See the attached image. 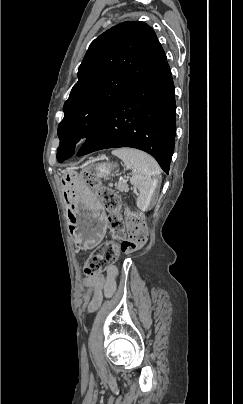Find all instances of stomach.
Instances as JSON below:
<instances>
[{
  "label": "stomach",
  "mask_w": 243,
  "mask_h": 404,
  "mask_svg": "<svg viewBox=\"0 0 243 404\" xmlns=\"http://www.w3.org/2000/svg\"><path fill=\"white\" fill-rule=\"evenodd\" d=\"M116 163L98 162L95 173L99 178L116 174ZM64 198L69 205L68 229L74 242L82 250L92 249L102 240L106 231V214L101 203L83 179L74 172L62 177Z\"/></svg>",
  "instance_id": "0dacf381"
}]
</instances>
